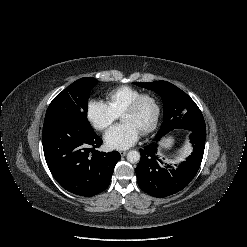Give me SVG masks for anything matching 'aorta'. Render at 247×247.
<instances>
[{
	"mask_svg": "<svg viewBox=\"0 0 247 247\" xmlns=\"http://www.w3.org/2000/svg\"><path fill=\"white\" fill-rule=\"evenodd\" d=\"M126 158L132 164L137 163L140 160V153L135 150L129 151Z\"/></svg>",
	"mask_w": 247,
	"mask_h": 247,
	"instance_id": "762f6f07",
	"label": "aorta"
}]
</instances>
